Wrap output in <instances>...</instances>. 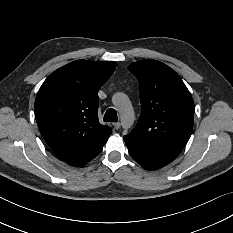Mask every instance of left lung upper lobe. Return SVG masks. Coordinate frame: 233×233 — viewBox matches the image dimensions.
<instances>
[{
    "mask_svg": "<svg viewBox=\"0 0 233 233\" xmlns=\"http://www.w3.org/2000/svg\"><path fill=\"white\" fill-rule=\"evenodd\" d=\"M128 70L139 81L141 115L128 135L163 153L178 156L194 124V102L180 76L162 62L145 59Z\"/></svg>",
    "mask_w": 233,
    "mask_h": 233,
    "instance_id": "obj_1",
    "label": "left lung upper lobe"
}]
</instances>
